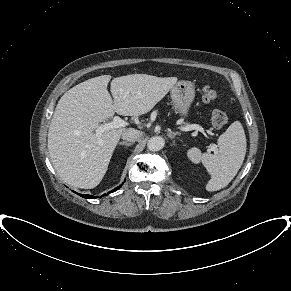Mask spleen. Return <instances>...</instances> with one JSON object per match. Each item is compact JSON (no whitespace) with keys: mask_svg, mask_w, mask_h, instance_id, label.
Wrapping results in <instances>:
<instances>
[{"mask_svg":"<svg viewBox=\"0 0 291 291\" xmlns=\"http://www.w3.org/2000/svg\"><path fill=\"white\" fill-rule=\"evenodd\" d=\"M219 151L215 154H202L198 148L187 152L195 164L202 162L211 175L206 185L207 191H217L226 187L241 168L246 154V136L239 121L233 122L218 138Z\"/></svg>","mask_w":291,"mask_h":291,"instance_id":"spleen-1","label":"spleen"}]
</instances>
